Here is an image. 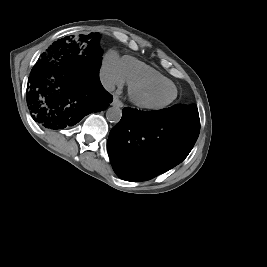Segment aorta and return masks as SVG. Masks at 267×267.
I'll return each mask as SVG.
<instances>
[{
    "label": "aorta",
    "mask_w": 267,
    "mask_h": 267,
    "mask_svg": "<svg viewBox=\"0 0 267 267\" xmlns=\"http://www.w3.org/2000/svg\"><path fill=\"white\" fill-rule=\"evenodd\" d=\"M121 117L122 110L117 106L110 107L106 111V118L110 122L118 123L121 120Z\"/></svg>",
    "instance_id": "762f6f07"
}]
</instances>
